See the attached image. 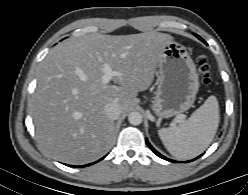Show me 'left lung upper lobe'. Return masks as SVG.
<instances>
[{
	"instance_id": "left-lung-upper-lobe-1",
	"label": "left lung upper lobe",
	"mask_w": 248,
	"mask_h": 195,
	"mask_svg": "<svg viewBox=\"0 0 248 195\" xmlns=\"http://www.w3.org/2000/svg\"><path fill=\"white\" fill-rule=\"evenodd\" d=\"M196 37L199 38L201 41L204 42V40L200 36L196 35Z\"/></svg>"
}]
</instances>
